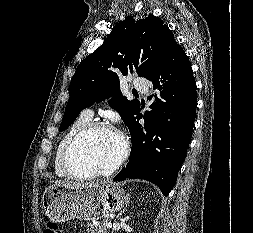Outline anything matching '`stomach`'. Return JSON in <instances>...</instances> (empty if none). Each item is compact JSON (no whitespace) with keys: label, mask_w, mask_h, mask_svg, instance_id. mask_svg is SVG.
Returning a JSON list of instances; mask_svg holds the SVG:
<instances>
[{"label":"stomach","mask_w":253,"mask_h":233,"mask_svg":"<svg viewBox=\"0 0 253 233\" xmlns=\"http://www.w3.org/2000/svg\"><path fill=\"white\" fill-rule=\"evenodd\" d=\"M125 204L124 191L113 184L85 188L52 184L41 200L43 213L54 222L98 220L105 214L121 210Z\"/></svg>","instance_id":"obj_1"}]
</instances>
